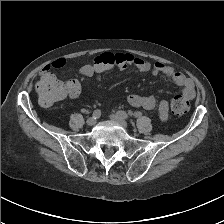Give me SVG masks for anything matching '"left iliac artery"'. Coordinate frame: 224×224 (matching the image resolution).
Instances as JSON below:
<instances>
[{"label":"left iliac artery","mask_w":224,"mask_h":224,"mask_svg":"<svg viewBox=\"0 0 224 224\" xmlns=\"http://www.w3.org/2000/svg\"><path fill=\"white\" fill-rule=\"evenodd\" d=\"M117 115H119L123 119H127L128 118V114L126 112H124V111H118Z\"/></svg>","instance_id":"44dca946"}]
</instances>
